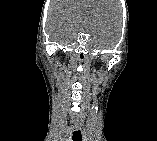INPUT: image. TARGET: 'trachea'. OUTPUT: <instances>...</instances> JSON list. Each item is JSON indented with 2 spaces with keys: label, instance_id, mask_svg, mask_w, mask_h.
<instances>
[{
  "label": "trachea",
  "instance_id": "3493384b",
  "mask_svg": "<svg viewBox=\"0 0 157 141\" xmlns=\"http://www.w3.org/2000/svg\"><path fill=\"white\" fill-rule=\"evenodd\" d=\"M73 141H82V134L80 130H75L72 136Z\"/></svg>",
  "mask_w": 157,
  "mask_h": 141
}]
</instances>
